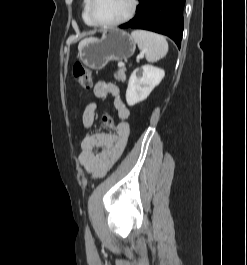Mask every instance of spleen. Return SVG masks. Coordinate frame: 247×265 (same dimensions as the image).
I'll list each match as a JSON object with an SVG mask.
<instances>
[{
	"instance_id": "1",
	"label": "spleen",
	"mask_w": 247,
	"mask_h": 265,
	"mask_svg": "<svg viewBox=\"0 0 247 265\" xmlns=\"http://www.w3.org/2000/svg\"><path fill=\"white\" fill-rule=\"evenodd\" d=\"M131 36L138 48L145 52L147 61H158L168 52V43L162 35L145 30H134Z\"/></svg>"
}]
</instances>
